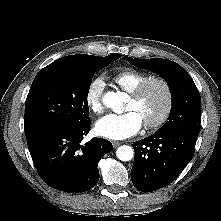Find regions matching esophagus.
Here are the masks:
<instances>
[{
	"mask_svg": "<svg viewBox=\"0 0 221 221\" xmlns=\"http://www.w3.org/2000/svg\"><path fill=\"white\" fill-rule=\"evenodd\" d=\"M112 144H113V147H114V148H117L118 146H120V145L122 144V142L113 141Z\"/></svg>",
	"mask_w": 221,
	"mask_h": 221,
	"instance_id": "34e87169",
	"label": "esophagus"
}]
</instances>
